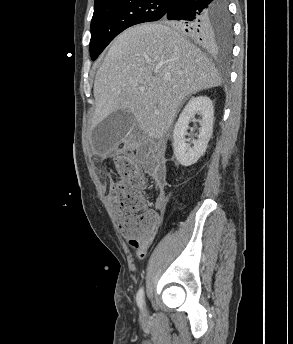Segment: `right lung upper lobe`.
<instances>
[{
	"label": "right lung upper lobe",
	"mask_w": 293,
	"mask_h": 344,
	"mask_svg": "<svg viewBox=\"0 0 293 344\" xmlns=\"http://www.w3.org/2000/svg\"><path fill=\"white\" fill-rule=\"evenodd\" d=\"M102 1H111V0H95V4H97V3H99V2H102ZM94 4V5H95ZM210 44H208V46H209Z\"/></svg>",
	"instance_id": "obj_1"
}]
</instances>
